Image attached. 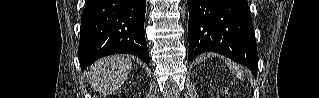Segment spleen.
Returning a JSON list of instances; mask_svg holds the SVG:
<instances>
[{"label": "spleen", "instance_id": "obj_1", "mask_svg": "<svg viewBox=\"0 0 319 98\" xmlns=\"http://www.w3.org/2000/svg\"><path fill=\"white\" fill-rule=\"evenodd\" d=\"M226 63L229 66L230 70H232L236 74L237 77H241L242 71L240 70V68L238 66H236L232 62H226Z\"/></svg>", "mask_w": 319, "mask_h": 98}]
</instances>
